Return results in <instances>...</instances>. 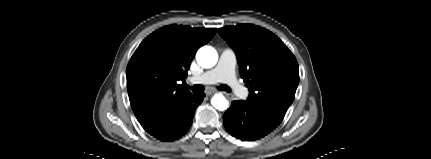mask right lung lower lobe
I'll return each instance as SVG.
<instances>
[{
  "mask_svg": "<svg viewBox=\"0 0 431 159\" xmlns=\"http://www.w3.org/2000/svg\"><path fill=\"white\" fill-rule=\"evenodd\" d=\"M205 97L204 93L189 94L145 130L160 141H173L190 128L196 108Z\"/></svg>",
  "mask_w": 431,
  "mask_h": 159,
  "instance_id": "98d812e1",
  "label": "right lung lower lobe"
}]
</instances>
